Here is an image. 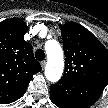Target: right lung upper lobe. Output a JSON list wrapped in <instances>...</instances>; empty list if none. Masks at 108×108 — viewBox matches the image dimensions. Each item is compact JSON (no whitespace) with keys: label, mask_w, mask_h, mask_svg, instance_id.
<instances>
[{"label":"right lung upper lobe","mask_w":108,"mask_h":108,"mask_svg":"<svg viewBox=\"0 0 108 108\" xmlns=\"http://www.w3.org/2000/svg\"><path fill=\"white\" fill-rule=\"evenodd\" d=\"M25 22L11 18L0 23V103L21 98L33 75L41 70L32 46L23 39Z\"/></svg>","instance_id":"1"}]
</instances>
